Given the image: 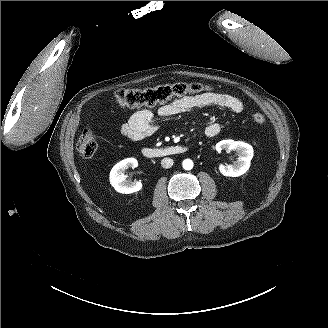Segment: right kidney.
Instances as JSON below:
<instances>
[{
    "instance_id": "obj_1",
    "label": "right kidney",
    "mask_w": 328,
    "mask_h": 328,
    "mask_svg": "<svg viewBox=\"0 0 328 328\" xmlns=\"http://www.w3.org/2000/svg\"><path fill=\"white\" fill-rule=\"evenodd\" d=\"M138 161L135 158H127L117 163L110 172V183L114 189L119 193H133L142 189L141 182L129 183L126 181V175L124 171L131 168H136Z\"/></svg>"
}]
</instances>
